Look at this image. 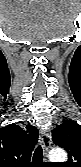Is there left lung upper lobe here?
I'll use <instances>...</instances> for the list:
<instances>
[{
	"mask_svg": "<svg viewBox=\"0 0 81 167\" xmlns=\"http://www.w3.org/2000/svg\"><path fill=\"white\" fill-rule=\"evenodd\" d=\"M53 142L68 152L64 167L81 166V125L67 120L52 131Z\"/></svg>",
	"mask_w": 81,
	"mask_h": 167,
	"instance_id": "1",
	"label": "left lung upper lobe"
}]
</instances>
